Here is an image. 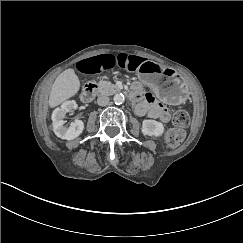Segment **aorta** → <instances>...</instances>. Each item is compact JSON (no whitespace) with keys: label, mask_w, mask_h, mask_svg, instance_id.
<instances>
[{"label":"aorta","mask_w":243,"mask_h":243,"mask_svg":"<svg viewBox=\"0 0 243 243\" xmlns=\"http://www.w3.org/2000/svg\"><path fill=\"white\" fill-rule=\"evenodd\" d=\"M124 101H125V96L122 93H117L113 97V102L116 105H121L124 103Z\"/></svg>","instance_id":"obj_1"}]
</instances>
